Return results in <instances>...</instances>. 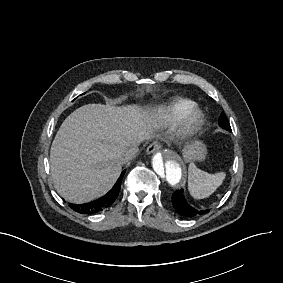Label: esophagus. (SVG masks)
Listing matches in <instances>:
<instances>
[{"instance_id":"1","label":"esophagus","mask_w":283,"mask_h":283,"mask_svg":"<svg viewBox=\"0 0 283 283\" xmlns=\"http://www.w3.org/2000/svg\"><path fill=\"white\" fill-rule=\"evenodd\" d=\"M161 148H162L161 143L158 142V141H154V142H152V143L148 146L146 152H147V154H152V153H154V152H156V151H159ZM170 154L172 155V154H175V153H174V152H170Z\"/></svg>"}]
</instances>
